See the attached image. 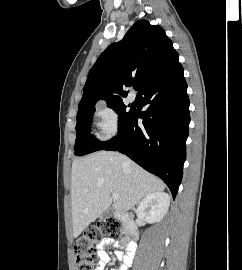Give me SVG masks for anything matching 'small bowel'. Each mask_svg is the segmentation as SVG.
Instances as JSON below:
<instances>
[{
    "mask_svg": "<svg viewBox=\"0 0 242 270\" xmlns=\"http://www.w3.org/2000/svg\"><path fill=\"white\" fill-rule=\"evenodd\" d=\"M124 244H125L124 247L127 249L128 253H125L122 250L115 251V257L117 258V260H119V264L113 270H128V267L132 262L131 258L132 252L130 251V247L133 245L135 248V245L130 244L129 242H124ZM108 246L121 247V245L118 242L111 239H107L101 242L98 246L97 255L99 258V262L96 265V270H104L106 264L110 262V256L105 251V248Z\"/></svg>",
    "mask_w": 242,
    "mask_h": 270,
    "instance_id": "c3829d8e",
    "label": "small bowel"
}]
</instances>
